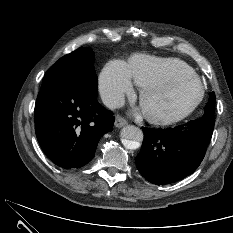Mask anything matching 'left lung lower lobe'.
Here are the masks:
<instances>
[{"label":"left lung lower lobe","mask_w":233,"mask_h":233,"mask_svg":"<svg viewBox=\"0 0 233 233\" xmlns=\"http://www.w3.org/2000/svg\"><path fill=\"white\" fill-rule=\"evenodd\" d=\"M215 122L202 118L167 129L143 127L136 166L149 182L164 185L192 174L204 158Z\"/></svg>","instance_id":"left-lung-lower-lobe-1"}]
</instances>
